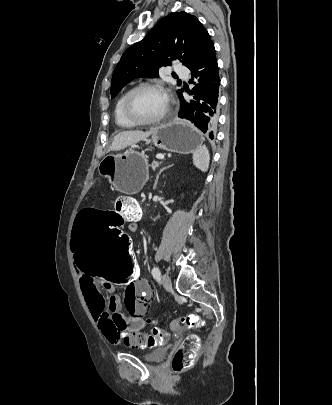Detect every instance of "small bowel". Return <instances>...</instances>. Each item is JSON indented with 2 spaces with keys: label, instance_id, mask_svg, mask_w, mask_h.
Listing matches in <instances>:
<instances>
[{
  "label": "small bowel",
  "instance_id": "small-bowel-1",
  "mask_svg": "<svg viewBox=\"0 0 332 405\" xmlns=\"http://www.w3.org/2000/svg\"><path fill=\"white\" fill-rule=\"evenodd\" d=\"M138 212L140 211L137 210L135 213ZM127 221L129 222V230L135 232L137 224L131 219V215ZM72 256L86 304L105 338L110 343L124 341L126 344L137 346V351H141L139 346L143 340H139L137 334L146 327L141 316L144 311L148 310L150 300H152V292L147 283L139 280L132 282L131 287H126L125 297L122 301L117 295L116 287H113L112 281H99L96 275H82L79 262H75L74 251ZM136 266L138 265L136 264ZM100 283L108 292V297L102 295L99 288ZM125 311L130 313L132 317H127ZM123 330L132 335V340H124L120 334Z\"/></svg>",
  "mask_w": 332,
  "mask_h": 405
}]
</instances>
